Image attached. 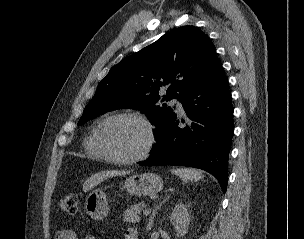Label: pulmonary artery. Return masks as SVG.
Returning <instances> with one entry per match:
<instances>
[{
  "instance_id": "obj_1",
  "label": "pulmonary artery",
  "mask_w": 304,
  "mask_h": 239,
  "mask_svg": "<svg viewBox=\"0 0 304 239\" xmlns=\"http://www.w3.org/2000/svg\"><path fill=\"white\" fill-rule=\"evenodd\" d=\"M172 104H174L176 106V109L179 113H183L184 112V109H183V106H182V103L181 101L178 99V98H174L172 100Z\"/></svg>"
}]
</instances>
